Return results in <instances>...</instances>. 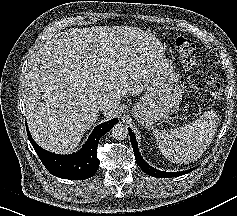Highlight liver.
<instances>
[{"label": "liver", "instance_id": "obj_1", "mask_svg": "<svg viewBox=\"0 0 237 216\" xmlns=\"http://www.w3.org/2000/svg\"><path fill=\"white\" fill-rule=\"evenodd\" d=\"M115 29L72 28L46 41L25 74L24 102L33 139L42 148L68 152L99 117V100L119 104L139 95L148 82L145 67L119 59ZM115 110L102 111L111 119Z\"/></svg>", "mask_w": 237, "mask_h": 216}]
</instances>
